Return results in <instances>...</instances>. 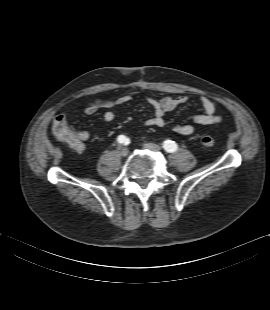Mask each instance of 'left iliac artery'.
Instances as JSON below:
<instances>
[{"mask_svg":"<svg viewBox=\"0 0 270 310\" xmlns=\"http://www.w3.org/2000/svg\"><path fill=\"white\" fill-rule=\"evenodd\" d=\"M163 148L167 151V152H175L178 149L177 144L174 141L171 140H167L163 143Z\"/></svg>","mask_w":270,"mask_h":310,"instance_id":"obj_1","label":"left iliac artery"}]
</instances>
